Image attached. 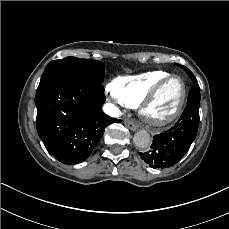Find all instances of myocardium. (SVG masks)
I'll return each mask as SVG.
<instances>
[{
  "instance_id": "1",
  "label": "myocardium",
  "mask_w": 229,
  "mask_h": 229,
  "mask_svg": "<svg viewBox=\"0 0 229 229\" xmlns=\"http://www.w3.org/2000/svg\"><path fill=\"white\" fill-rule=\"evenodd\" d=\"M175 79H180L183 82L184 89H185L183 101H182L181 105L179 106V108L175 111V113L172 116H170L166 119L158 120L150 113V110H149L150 104L159 95V92L166 85L170 84ZM188 99H189V89H188V86H187L185 79L179 75H171L170 77H166L164 80L159 82L156 86H154L152 88V90L150 91V93L143 98L144 107L142 108V115H143L146 123L149 126L155 128V129L166 128V127L172 125L174 122H176L180 118V116L182 115V113H183V111L187 105Z\"/></svg>"
}]
</instances>
